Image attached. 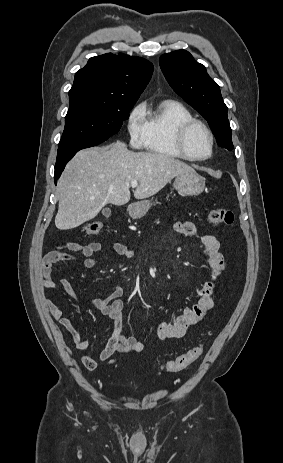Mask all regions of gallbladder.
<instances>
[{"label":"gallbladder","instance_id":"1","mask_svg":"<svg viewBox=\"0 0 283 463\" xmlns=\"http://www.w3.org/2000/svg\"><path fill=\"white\" fill-rule=\"evenodd\" d=\"M102 213L104 216H109L111 214V210L109 208H104Z\"/></svg>","mask_w":283,"mask_h":463}]
</instances>
